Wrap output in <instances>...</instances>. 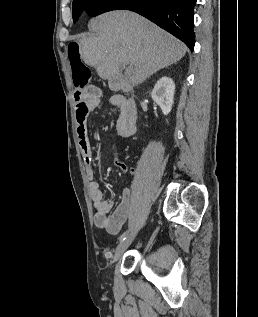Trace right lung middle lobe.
<instances>
[{
  "instance_id": "right-lung-middle-lobe-1",
  "label": "right lung middle lobe",
  "mask_w": 258,
  "mask_h": 317,
  "mask_svg": "<svg viewBox=\"0 0 258 317\" xmlns=\"http://www.w3.org/2000/svg\"><path fill=\"white\" fill-rule=\"evenodd\" d=\"M116 0H73V21L76 22L87 6L110 11ZM99 15V14H98ZM91 16V15H90Z\"/></svg>"
}]
</instances>
